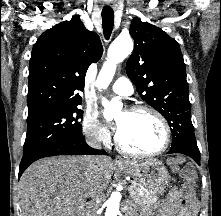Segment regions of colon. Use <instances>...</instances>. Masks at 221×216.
Here are the masks:
<instances>
[{
    "label": "colon",
    "mask_w": 221,
    "mask_h": 216,
    "mask_svg": "<svg viewBox=\"0 0 221 216\" xmlns=\"http://www.w3.org/2000/svg\"><path fill=\"white\" fill-rule=\"evenodd\" d=\"M170 167L175 172H181L186 176H191L192 171L186 168V161L184 158H174L169 162ZM181 192L183 194V205L187 207H193L195 204L194 187L190 182H185L181 187Z\"/></svg>",
    "instance_id": "colon-1"
}]
</instances>
